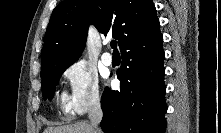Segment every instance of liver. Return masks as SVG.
<instances>
[{
    "instance_id": "1",
    "label": "liver",
    "mask_w": 221,
    "mask_h": 133,
    "mask_svg": "<svg viewBox=\"0 0 221 133\" xmlns=\"http://www.w3.org/2000/svg\"><path fill=\"white\" fill-rule=\"evenodd\" d=\"M44 133H93L91 125L78 122L60 127H47Z\"/></svg>"
}]
</instances>
